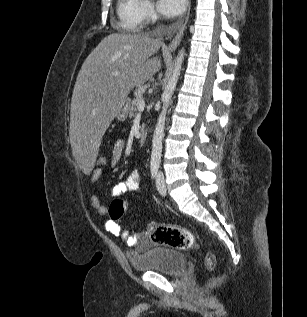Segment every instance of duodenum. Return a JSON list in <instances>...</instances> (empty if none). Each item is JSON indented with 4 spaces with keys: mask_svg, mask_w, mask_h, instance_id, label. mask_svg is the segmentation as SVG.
I'll use <instances>...</instances> for the list:
<instances>
[{
    "mask_svg": "<svg viewBox=\"0 0 307 317\" xmlns=\"http://www.w3.org/2000/svg\"><path fill=\"white\" fill-rule=\"evenodd\" d=\"M146 133L145 132H140L138 135V140L140 143H145L146 141Z\"/></svg>",
    "mask_w": 307,
    "mask_h": 317,
    "instance_id": "duodenum-1",
    "label": "duodenum"
}]
</instances>
